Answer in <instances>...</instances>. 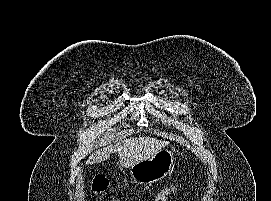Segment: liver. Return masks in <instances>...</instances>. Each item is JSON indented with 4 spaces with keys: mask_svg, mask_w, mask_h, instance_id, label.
<instances>
[{
    "mask_svg": "<svg viewBox=\"0 0 271 201\" xmlns=\"http://www.w3.org/2000/svg\"><path fill=\"white\" fill-rule=\"evenodd\" d=\"M169 144L153 137H135L125 139L116 145H109L96 150L86 161V164H96L105 161L110 154L117 152L122 167L129 168L134 164L149 159Z\"/></svg>",
    "mask_w": 271,
    "mask_h": 201,
    "instance_id": "1",
    "label": "liver"
}]
</instances>
